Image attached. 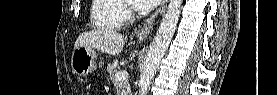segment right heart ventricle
<instances>
[{
  "label": "right heart ventricle",
  "instance_id": "obj_1",
  "mask_svg": "<svg viewBox=\"0 0 277 95\" xmlns=\"http://www.w3.org/2000/svg\"><path fill=\"white\" fill-rule=\"evenodd\" d=\"M126 17L121 10V0H93L91 25L98 30H115L124 25Z\"/></svg>",
  "mask_w": 277,
  "mask_h": 95
}]
</instances>
